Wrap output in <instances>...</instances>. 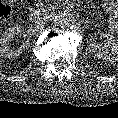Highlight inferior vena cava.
I'll list each match as a JSON object with an SVG mask.
<instances>
[{
  "instance_id": "1",
  "label": "inferior vena cava",
  "mask_w": 118,
  "mask_h": 118,
  "mask_svg": "<svg viewBox=\"0 0 118 118\" xmlns=\"http://www.w3.org/2000/svg\"><path fill=\"white\" fill-rule=\"evenodd\" d=\"M46 21V17H40L38 20H36L37 25H42Z\"/></svg>"
}]
</instances>
